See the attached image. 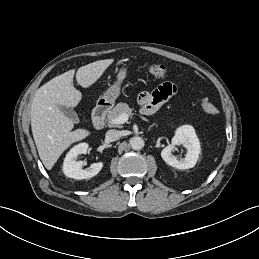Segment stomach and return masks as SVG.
Here are the masks:
<instances>
[{
	"label": "stomach",
	"instance_id": "stomach-1",
	"mask_svg": "<svg viewBox=\"0 0 259 259\" xmlns=\"http://www.w3.org/2000/svg\"><path fill=\"white\" fill-rule=\"evenodd\" d=\"M126 75L127 69L124 67L121 68L117 73L116 82L113 85H111L97 100L98 106L111 107L114 105L116 99L120 95L121 83L126 78Z\"/></svg>",
	"mask_w": 259,
	"mask_h": 259
}]
</instances>
